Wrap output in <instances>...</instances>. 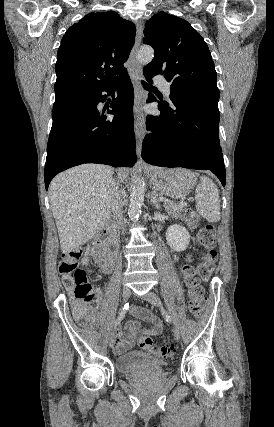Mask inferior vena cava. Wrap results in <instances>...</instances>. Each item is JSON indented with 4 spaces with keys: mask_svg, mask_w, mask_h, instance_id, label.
<instances>
[{
    "mask_svg": "<svg viewBox=\"0 0 274 427\" xmlns=\"http://www.w3.org/2000/svg\"><path fill=\"white\" fill-rule=\"evenodd\" d=\"M112 212L116 219V223L118 225V229H122L124 231L125 227V219L123 217V202H122V194L117 186L115 192H113L112 202H111Z\"/></svg>",
    "mask_w": 274,
    "mask_h": 427,
    "instance_id": "602c4592",
    "label": "inferior vena cava"
}]
</instances>
